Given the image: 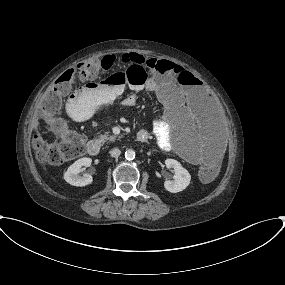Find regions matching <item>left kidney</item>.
Here are the masks:
<instances>
[{
  "mask_svg": "<svg viewBox=\"0 0 285 285\" xmlns=\"http://www.w3.org/2000/svg\"><path fill=\"white\" fill-rule=\"evenodd\" d=\"M165 165L168 169H174V181L166 180L164 187L167 191L177 193L183 191L190 184L191 176L189 172L176 160L166 159Z\"/></svg>",
  "mask_w": 285,
  "mask_h": 285,
  "instance_id": "1",
  "label": "left kidney"
}]
</instances>
